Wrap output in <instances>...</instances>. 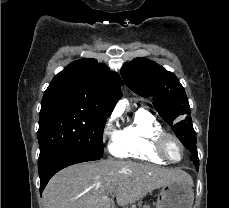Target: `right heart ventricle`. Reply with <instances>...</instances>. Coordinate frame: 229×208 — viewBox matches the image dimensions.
<instances>
[{
    "label": "right heart ventricle",
    "instance_id": "e07e8e85",
    "mask_svg": "<svg viewBox=\"0 0 229 208\" xmlns=\"http://www.w3.org/2000/svg\"><path fill=\"white\" fill-rule=\"evenodd\" d=\"M163 132L162 124L148 110L140 108L134 112L132 121L117 133L112 151L123 159L167 165L166 158H159V153L152 152Z\"/></svg>",
    "mask_w": 229,
    "mask_h": 208
}]
</instances>
